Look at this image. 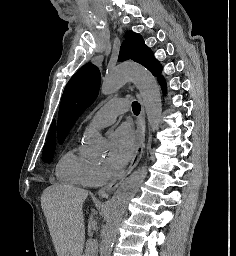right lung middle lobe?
I'll list each match as a JSON object with an SVG mask.
<instances>
[{
	"label": "right lung middle lobe",
	"instance_id": "dd1d6c3e",
	"mask_svg": "<svg viewBox=\"0 0 236 256\" xmlns=\"http://www.w3.org/2000/svg\"><path fill=\"white\" fill-rule=\"evenodd\" d=\"M56 142H46L43 149V161L46 163H50L53 159V154L55 151Z\"/></svg>",
	"mask_w": 236,
	"mask_h": 256
}]
</instances>
